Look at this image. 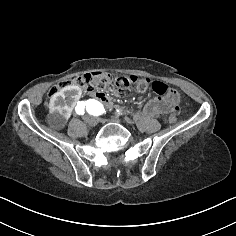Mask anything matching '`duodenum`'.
<instances>
[{"mask_svg":"<svg viewBox=\"0 0 236 236\" xmlns=\"http://www.w3.org/2000/svg\"><path fill=\"white\" fill-rule=\"evenodd\" d=\"M93 100L100 103L104 109L111 113L121 112L123 106L116 104L112 99L104 92H95L92 94Z\"/></svg>","mask_w":236,"mask_h":236,"instance_id":"duodenum-1","label":"duodenum"}]
</instances>
